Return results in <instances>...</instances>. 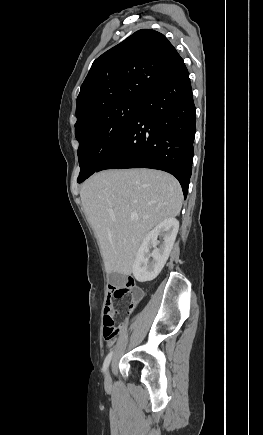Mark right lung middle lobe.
I'll return each mask as SVG.
<instances>
[{
	"label": "right lung middle lobe",
	"mask_w": 263,
	"mask_h": 435,
	"mask_svg": "<svg viewBox=\"0 0 263 435\" xmlns=\"http://www.w3.org/2000/svg\"><path fill=\"white\" fill-rule=\"evenodd\" d=\"M142 102L124 99L106 104L94 110L75 128L81 168L78 183L96 172L130 125Z\"/></svg>",
	"instance_id": "dd1d6c3e"
}]
</instances>
